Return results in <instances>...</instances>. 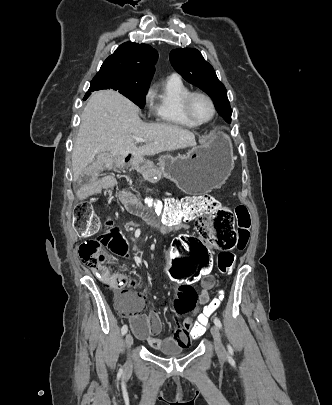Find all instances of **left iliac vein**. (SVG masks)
Segmentation results:
<instances>
[{"mask_svg":"<svg viewBox=\"0 0 332 405\" xmlns=\"http://www.w3.org/2000/svg\"><path fill=\"white\" fill-rule=\"evenodd\" d=\"M211 334H212L213 339H214V345H215L216 353L218 354V356L224 357L226 352H225V348H224V346H223V344L221 342L219 328L216 325H213L211 327Z\"/></svg>","mask_w":332,"mask_h":405,"instance_id":"4c4485c4","label":"left iliac vein"}]
</instances>
